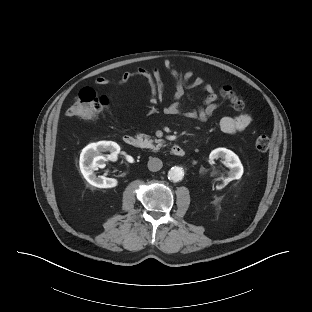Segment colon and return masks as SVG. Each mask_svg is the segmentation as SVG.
Returning <instances> with one entry per match:
<instances>
[{
    "mask_svg": "<svg viewBox=\"0 0 312 312\" xmlns=\"http://www.w3.org/2000/svg\"><path fill=\"white\" fill-rule=\"evenodd\" d=\"M222 95L227 98L233 108L238 112L245 110L243 99L230 87L224 86L221 89ZM108 101L104 97L97 96L89 87L80 90L73 104L69 107L67 114L70 117L95 120L107 107ZM270 146V138L267 135H260L255 140V148L259 152H265Z\"/></svg>",
    "mask_w": 312,
    "mask_h": 312,
    "instance_id": "1",
    "label": "colon"
}]
</instances>
